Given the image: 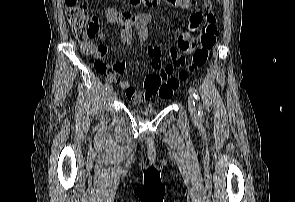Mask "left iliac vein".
<instances>
[{
    "mask_svg": "<svg viewBox=\"0 0 295 202\" xmlns=\"http://www.w3.org/2000/svg\"><path fill=\"white\" fill-rule=\"evenodd\" d=\"M188 105H189V111L193 118L197 117V110L195 106V101L192 95L188 96Z\"/></svg>",
    "mask_w": 295,
    "mask_h": 202,
    "instance_id": "left-iliac-vein-1",
    "label": "left iliac vein"
}]
</instances>
